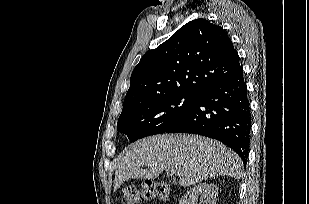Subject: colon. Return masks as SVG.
I'll return each mask as SVG.
<instances>
[{
	"label": "colon",
	"instance_id": "obj_1",
	"mask_svg": "<svg viewBox=\"0 0 309 204\" xmlns=\"http://www.w3.org/2000/svg\"><path fill=\"white\" fill-rule=\"evenodd\" d=\"M172 189L167 182H144L140 186H128L122 194L123 204H141L145 200L158 198L167 200Z\"/></svg>",
	"mask_w": 309,
	"mask_h": 204
}]
</instances>
